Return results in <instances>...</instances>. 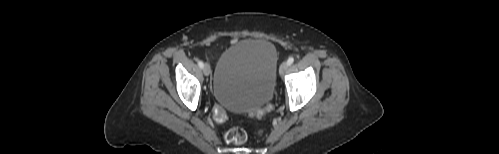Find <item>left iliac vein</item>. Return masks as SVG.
Masks as SVG:
<instances>
[{
	"instance_id": "left-iliac-vein-1",
	"label": "left iliac vein",
	"mask_w": 499,
	"mask_h": 154,
	"mask_svg": "<svg viewBox=\"0 0 499 154\" xmlns=\"http://www.w3.org/2000/svg\"><path fill=\"white\" fill-rule=\"evenodd\" d=\"M288 66L287 62H283L279 67V74L283 75L287 71Z\"/></svg>"
}]
</instances>
